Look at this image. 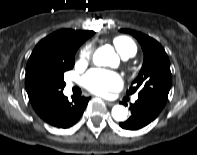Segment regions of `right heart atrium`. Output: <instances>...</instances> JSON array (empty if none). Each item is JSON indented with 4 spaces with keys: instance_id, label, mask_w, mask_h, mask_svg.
Wrapping results in <instances>:
<instances>
[{
    "instance_id": "obj_1",
    "label": "right heart atrium",
    "mask_w": 197,
    "mask_h": 155,
    "mask_svg": "<svg viewBox=\"0 0 197 155\" xmlns=\"http://www.w3.org/2000/svg\"><path fill=\"white\" fill-rule=\"evenodd\" d=\"M92 55V47L90 45L84 46L80 51V59L87 61Z\"/></svg>"
}]
</instances>
